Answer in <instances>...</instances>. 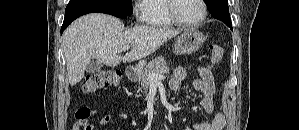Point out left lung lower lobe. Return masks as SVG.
Listing matches in <instances>:
<instances>
[{
	"label": "left lung lower lobe",
	"instance_id": "left-lung-lower-lobe-1",
	"mask_svg": "<svg viewBox=\"0 0 299 130\" xmlns=\"http://www.w3.org/2000/svg\"><path fill=\"white\" fill-rule=\"evenodd\" d=\"M213 16V15H212ZM214 17V16H213ZM216 19H219V20H221V21H223L228 27H230L231 28V30H232V23H231V20H230V18H228V19H224V18H221V17H215Z\"/></svg>",
	"mask_w": 299,
	"mask_h": 130
}]
</instances>
